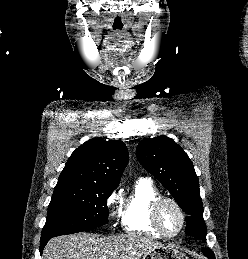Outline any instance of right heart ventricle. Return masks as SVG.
<instances>
[{"label": "right heart ventricle", "mask_w": 248, "mask_h": 259, "mask_svg": "<svg viewBox=\"0 0 248 259\" xmlns=\"http://www.w3.org/2000/svg\"><path fill=\"white\" fill-rule=\"evenodd\" d=\"M160 196L161 191L152 180L139 178L124 201L121 214L123 228L129 233L160 237L151 221L152 205Z\"/></svg>", "instance_id": "1"}]
</instances>
